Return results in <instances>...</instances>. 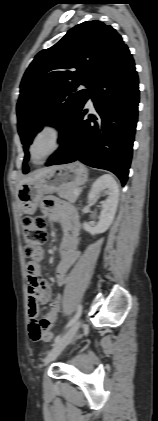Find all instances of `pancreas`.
I'll return each mask as SVG.
<instances>
[{
  "mask_svg": "<svg viewBox=\"0 0 158 421\" xmlns=\"http://www.w3.org/2000/svg\"><path fill=\"white\" fill-rule=\"evenodd\" d=\"M74 190H75V188H69V189L61 190V191L58 192V195L61 198H64L71 203H74L78 198V196H76L74 194Z\"/></svg>",
  "mask_w": 158,
  "mask_h": 421,
  "instance_id": "pancreas-1",
  "label": "pancreas"
}]
</instances>
